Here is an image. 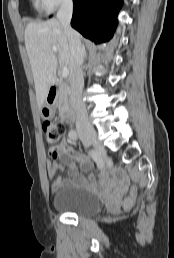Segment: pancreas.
I'll return each instance as SVG.
<instances>
[{"mask_svg":"<svg viewBox=\"0 0 174 258\" xmlns=\"http://www.w3.org/2000/svg\"><path fill=\"white\" fill-rule=\"evenodd\" d=\"M58 104L62 108L67 107L69 104L67 89L64 86H61L59 89Z\"/></svg>","mask_w":174,"mask_h":258,"instance_id":"pancreas-1","label":"pancreas"}]
</instances>
